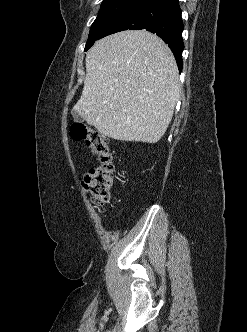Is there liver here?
Masks as SVG:
<instances>
[{
    "mask_svg": "<svg viewBox=\"0 0 247 332\" xmlns=\"http://www.w3.org/2000/svg\"><path fill=\"white\" fill-rule=\"evenodd\" d=\"M175 58L158 36L128 30L97 41L86 56V77L73 111L104 136L156 143L179 99Z\"/></svg>",
    "mask_w": 247,
    "mask_h": 332,
    "instance_id": "6515ba94",
    "label": "liver"
}]
</instances>
